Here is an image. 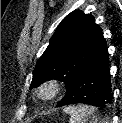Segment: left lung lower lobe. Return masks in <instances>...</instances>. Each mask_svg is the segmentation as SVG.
Instances as JSON below:
<instances>
[{"instance_id":"obj_1","label":"left lung lower lobe","mask_w":122,"mask_h":123,"mask_svg":"<svg viewBox=\"0 0 122 123\" xmlns=\"http://www.w3.org/2000/svg\"><path fill=\"white\" fill-rule=\"evenodd\" d=\"M111 98L109 55L105 45L79 71L56 107L77 103L104 107Z\"/></svg>"}]
</instances>
